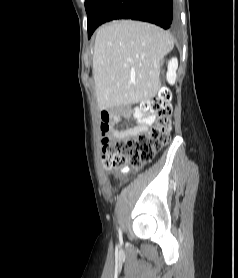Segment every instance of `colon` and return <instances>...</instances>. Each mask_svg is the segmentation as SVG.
Here are the masks:
<instances>
[{"label":"colon","instance_id":"colon-1","mask_svg":"<svg viewBox=\"0 0 238 278\" xmlns=\"http://www.w3.org/2000/svg\"><path fill=\"white\" fill-rule=\"evenodd\" d=\"M141 110L154 114L155 122L145 129L118 132L106 139L103 142V165L106 169L125 172L130 168H140L169 143L172 129L170 94L161 92L151 101L143 103ZM108 128V124H101L102 132Z\"/></svg>","mask_w":238,"mask_h":278}]
</instances>
